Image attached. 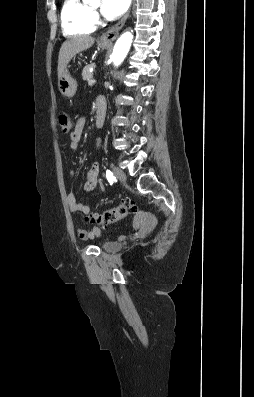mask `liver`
<instances>
[{
	"instance_id": "obj_1",
	"label": "liver",
	"mask_w": 254,
	"mask_h": 397,
	"mask_svg": "<svg viewBox=\"0 0 254 397\" xmlns=\"http://www.w3.org/2000/svg\"><path fill=\"white\" fill-rule=\"evenodd\" d=\"M95 42L94 37L89 35L75 36L66 40L60 48L58 57V78L70 60L79 52L89 49Z\"/></svg>"
}]
</instances>
